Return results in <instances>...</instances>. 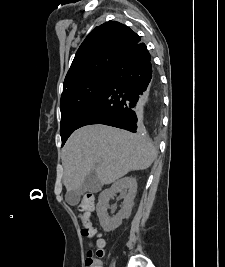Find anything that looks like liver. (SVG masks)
I'll return each instance as SVG.
<instances>
[{"label": "liver", "instance_id": "obj_1", "mask_svg": "<svg viewBox=\"0 0 225 267\" xmlns=\"http://www.w3.org/2000/svg\"><path fill=\"white\" fill-rule=\"evenodd\" d=\"M156 155L145 134L87 125L77 129L62 149L64 185L67 191L76 190L91 172L102 184H111L130 171L149 168Z\"/></svg>", "mask_w": 225, "mask_h": 267}]
</instances>
